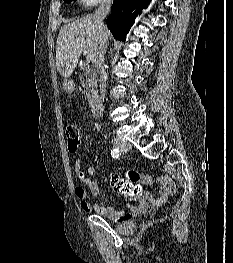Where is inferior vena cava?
Returning a JSON list of instances; mask_svg holds the SVG:
<instances>
[{
    "instance_id": "inferior-vena-cava-1",
    "label": "inferior vena cava",
    "mask_w": 233,
    "mask_h": 263,
    "mask_svg": "<svg viewBox=\"0 0 233 263\" xmlns=\"http://www.w3.org/2000/svg\"><path fill=\"white\" fill-rule=\"evenodd\" d=\"M111 9V0L102 3L96 10L93 20L98 29V47L95 55L96 71L100 76V100L103 102L106 91V73L104 70V54L107 45V28L103 20L107 17Z\"/></svg>"
}]
</instances>
